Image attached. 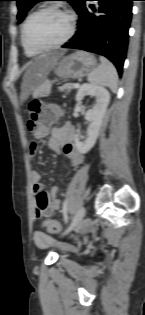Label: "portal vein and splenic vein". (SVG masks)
Wrapping results in <instances>:
<instances>
[{"instance_id": "18ae733b", "label": "portal vein and splenic vein", "mask_w": 145, "mask_h": 315, "mask_svg": "<svg viewBox=\"0 0 145 315\" xmlns=\"http://www.w3.org/2000/svg\"><path fill=\"white\" fill-rule=\"evenodd\" d=\"M79 86H80L79 84H74L73 85L74 88H79Z\"/></svg>"}]
</instances>
